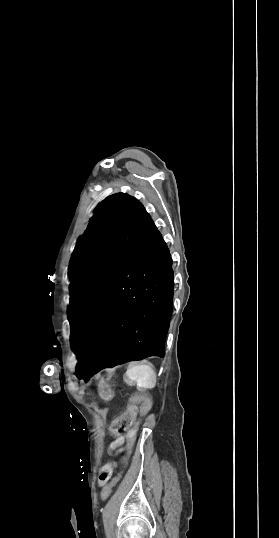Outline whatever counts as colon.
Wrapping results in <instances>:
<instances>
[{
	"instance_id": "obj_1",
	"label": "colon",
	"mask_w": 279,
	"mask_h": 538,
	"mask_svg": "<svg viewBox=\"0 0 279 538\" xmlns=\"http://www.w3.org/2000/svg\"><path fill=\"white\" fill-rule=\"evenodd\" d=\"M140 398L135 396L131 399L126 410L117 416L110 425V432L112 435L117 436L124 431H128L126 436V451H130L133 446L137 434H138V425H134L137 413L139 411ZM116 451V446L112 445L108 448L106 455L102 459V464L99 470V481L107 483L111 477L114 461L112 460L113 454ZM118 481V476L114 477L110 482H108L101 491V498L107 500L112 492L113 486Z\"/></svg>"
}]
</instances>
